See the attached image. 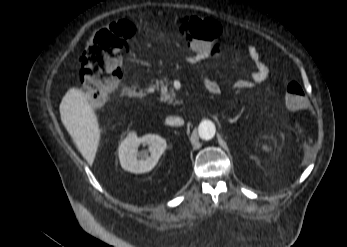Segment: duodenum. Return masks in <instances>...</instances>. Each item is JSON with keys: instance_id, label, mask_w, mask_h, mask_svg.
Returning <instances> with one entry per match:
<instances>
[{"instance_id": "duodenum-1", "label": "duodenum", "mask_w": 347, "mask_h": 247, "mask_svg": "<svg viewBox=\"0 0 347 247\" xmlns=\"http://www.w3.org/2000/svg\"><path fill=\"white\" fill-rule=\"evenodd\" d=\"M150 93L149 88L138 85L133 86L127 92V95L132 98H144Z\"/></svg>"}]
</instances>
